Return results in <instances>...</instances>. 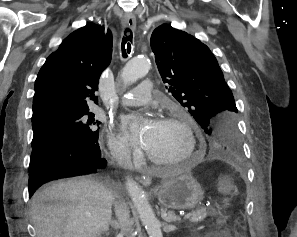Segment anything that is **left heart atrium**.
I'll return each instance as SVG.
<instances>
[{"mask_svg": "<svg viewBox=\"0 0 297 237\" xmlns=\"http://www.w3.org/2000/svg\"><path fill=\"white\" fill-rule=\"evenodd\" d=\"M159 121L150 114L133 113L121 118L124 135L134 144L146 148L151 144Z\"/></svg>", "mask_w": 297, "mask_h": 237, "instance_id": "left-heart-atrium-1", "label": "left heart atrium"}]
</instances>
